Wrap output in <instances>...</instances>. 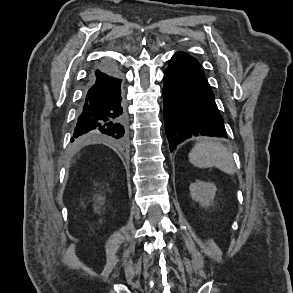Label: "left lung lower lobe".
Wrapping results in <instances>:
<instances>
[{"label":"left lung lower lobe","mask_w":293,"mask_h":293,"mask_svg":"<svg viewBox=\"0 0 293 293\" xmlns=\"http://www.w3.org/2000/svg\"><path fill=\"white\" fill-rule=\"evenodd\" d=\"M165 132L172 152L193 136L227 138L214 94L198 61L184 52L173 55L164 75Z\"/></svg>","instance_id":"left-lung-lower-lobe-1"}]
</instances>
